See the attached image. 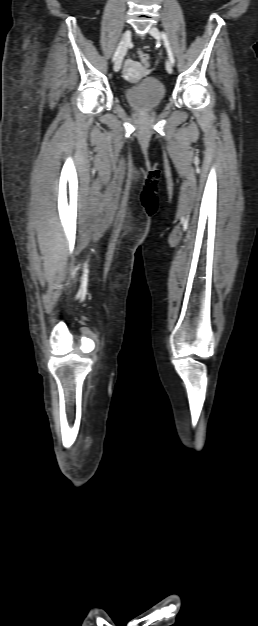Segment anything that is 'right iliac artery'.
I'll list each match as a JSON object with an SVG mask.
<instances>
[{"instance_id": "1", "label": "right iliac artery", "mask_w": 258, "mask_h": 626, "mask_svg": "<svg viewBox=\"0 0 258 626\" xmlns=\"http://www.w3.org/2000/svg\"><path fill=\"white\" fill-rule=\"evenodd\" d=\"M122 44H123V41H121V42L119 43V45H118V47H117V49H116V51H115V53H114V56H113V59H112V60H113V62H115V61H116V59H117V57H118V55H119V53H120V50H121Z\"/></svg>"}]
</instances>
